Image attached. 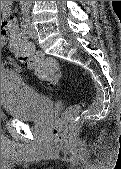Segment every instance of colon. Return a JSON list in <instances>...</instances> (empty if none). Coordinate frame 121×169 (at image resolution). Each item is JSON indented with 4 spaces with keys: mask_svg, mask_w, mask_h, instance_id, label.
<instances>
[{
    "mask_svg": "<svg viewBox=\"0 0 121 169\" xmlns=\"http://www.w3.org/2000/svg\"><path fill=\"white\" fill-rule=\"evenodd\" d=\"M4 37L9 50L22 64L33 71L37 79L53 88L60 87L61 74L56 60L46 58L41 53L34 51L24 35L16 29L6 31ZM76 113L77 106H72L54 123L52 137L56 142L65 143L69 140L73 132Z\"/></svg>",
    "mask_w": 121,
    "mask_h": 169,
    "instance_id": "obj_1",
    "label": "colon"
}]
</instances>
